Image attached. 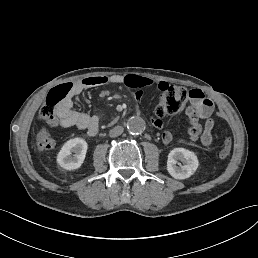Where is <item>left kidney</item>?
Returning <instances> with one entry per match:
<instances>
[{"mask_svg": "<svg viewBox=\"0 0 258 258\" xmlns=\"http://www.w3.org/2000/svg\"><path fill=\"white\" fill-rule=\"evenodd\" d=\"M181 161L183 165L177 166V161ZM198 158L194 152L185 148H174L168 154L167 170L175 179H186L194 174L198 168Z\"/></svg>", "mask_w": 258, "mask_h": 258, "instance_id": "1", "label": "left kidney"}]
</instances>
